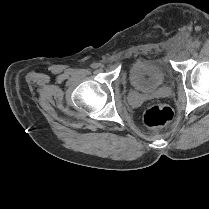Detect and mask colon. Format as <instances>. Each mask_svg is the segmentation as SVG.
<instances>
[{
  "instance_id": "obj_1",
  "label": "colon",
  "mask_w": 209,
  "mask_h": 209,
  "mask_svg": "<svg viewBox=\"0 0 209 209\" xmlns=\"http://www.w3.org/2000/svg\"><path fill=\"white\" fill-rule=\"evenodd\" d=\"M173 118V111L166 105H150L143 112V122L146 126L157 128L167 125Z\"/></svg>"
}]
</instances>
